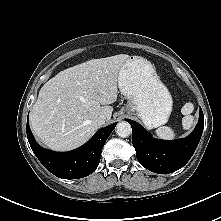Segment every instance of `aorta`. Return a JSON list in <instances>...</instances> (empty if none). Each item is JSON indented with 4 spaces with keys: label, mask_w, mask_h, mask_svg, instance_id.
<instances>
[{
    "label": "aorta",
    "mask_w": 221,
    "mask_h": 221,
    "mask_svg": "<svg viewBox=\"0 0 221 221\" xmlns=\"http://www.w3.org/2000/svg\"><path fill=\"white\" fill-rule=\"evenodd\" d=\"M116 133L122 138H126L131 135L132 128L130 124L126 121L119 122L116 126Z\"/></svg>",
    "instance_id": "aorta-1"
}]
</instances>
